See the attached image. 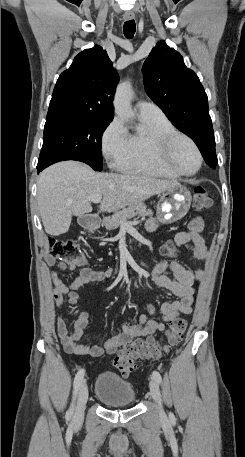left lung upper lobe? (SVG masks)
I'll return each mask as SVG.
<instances>
[{
    "instance_id": "5c2ea615",
    "label": "left lung upper lobe",
    "mask_w": 245,
    "mask_h": 457,
    "mask_svg": "<svg viewBox=\"0 0 245 457\" xmlns=\"http://www.w3.org/2000/svg\"><path fill=\"white\" fill-rule=\"evenodd\" d=\"M143 83L148 96L168 119L195 143L213 132L207 95L197 75L188 69L182 56L160 41L143 67Z\"/></svg>"
}]
</instances>
